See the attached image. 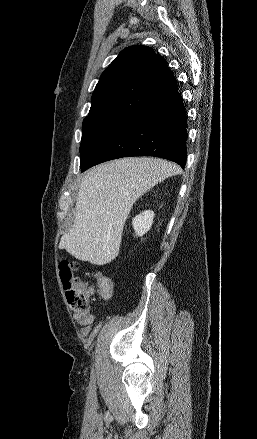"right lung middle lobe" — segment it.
<instances>
[{
  "label": "right lung middle lobe",
  "mask_w": 257,
  "mask_h": 439,
  "mask_svg": "<svg viewBox=\"0 0 257 439\" xmlns=\"http://www.w3.org/2000/svg\"><path fill=\"white\" fill-rule=\"evenodd\" d=\"M125 119L126 117L117 115L88 116L84 119L80 145V168Z\"/></svg>",
  "instance_id": "obj_1"
}]
</instances>
